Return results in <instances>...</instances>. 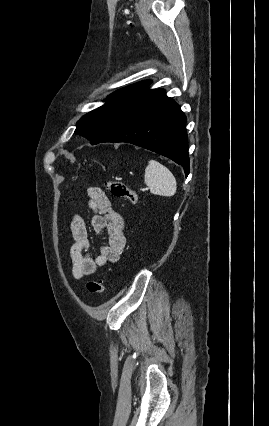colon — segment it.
I'll use <instances>...</instances> for the list:
<instances>
[{
    "mask_svg": "<svg viewBox=\"0 0 269 426\" xmlns=\"http://www.w3.org/2000/svg\"><path fill=\"white\" fill-rule=\"evenodd\" d=\"M106 187L110 193L116 198H122L129 201L131 204H136L138 196L135 191L129 188L125 183L115 180L106 181ZM87 290L91 294L102 295L104 293V285L96 280L87 282Z\"/></svg>",
    "mask_w": 269,
    "mask_h": 426,
    "instance_id": "obj_1",
    "label": "colon"
}]
</instances>
